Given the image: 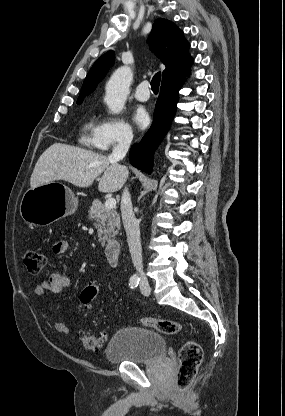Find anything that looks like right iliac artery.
<instances>
[{
	"instance_id": "right-iliac-artery-1",
	"label": "right iliac artery",
	"mask_w": 285,
	"mask_h": 416,
	"mask_svg": "<svg viewBox=\"0 0 285 416\" xmlns=\"http://www.w3.org/2000/svg\"><path fill=\"white\" fill-rule=\"evenodd\" d=\"M140 282V277L137 274H134L133 276H131L130 281H129V286L130 288L134 289L138 286Z\"/></svg>"
}]
</instances>
